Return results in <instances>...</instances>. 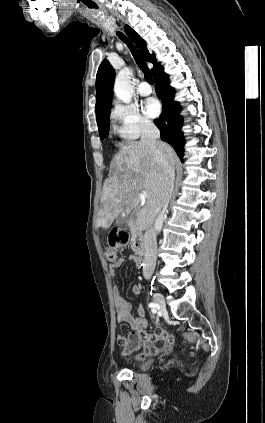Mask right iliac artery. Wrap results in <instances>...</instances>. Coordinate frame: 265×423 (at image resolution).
Returning <instances> with one entry per match:
<instances>
[{
  "label": "right iliac artery",
  "mask_w": 265,
  "mask_h": 423,
  "mask_svg": "<svg viewBox=\"0 0 265 423\" xmlns=\"http://www.w3.org/2000/svg\"><path fill=\"white\" fill-rule=\"evenodd\" d=\"M149 307L151 308V311H152L153 313H156V308H157L156 303H150V304H149Z\"/></svg>",
  "instance_id": "right-iliac-artery-1"
}]
</instances>
